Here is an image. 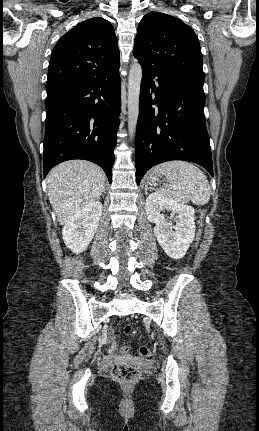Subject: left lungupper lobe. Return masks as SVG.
<instances>
[{"label": "left lung upper lobe", "mask_w": 259, "mask_h": 431, "mask_svg": "<svg viewBox=\"0 0 259 431\" xmlns=\"http://www.w3.org/2000/svg\"><path fill=\"white\" fill-rule=\"evenodd\" d=\"M134 57L175 78L204 84L198 37L180 19L159 12L146 14L134 40Z\"/></svg>", "instance_id": "obj_1"}]
</instances>
